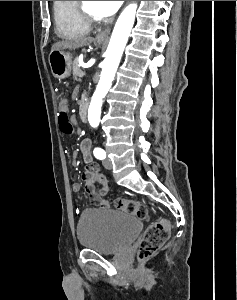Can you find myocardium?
Returning <instances> with one entry per match:
<instances>
[{
  "label": "myocardium",
  "mask_w": 237,
  "mask_h": 300,
  "mask_svg": "<svg viewBox=\"0 0 237 300\" xmlns=\"http://www.w3.org/2000/svg\"><path fill=\"white\" fill-rule=\"evenodd\" d=\"M78 10L82 19L89 25H98L105 21L104 17L92 14L84 5V1H78Z\"/></svg>",
  "instance_id": "1"
}]
</instances>
